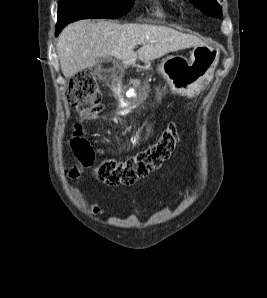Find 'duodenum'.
<instances>
[{"mask_svg":"<svg viewBox=\"0 0 267 298\" xmlns=\"http://www.w3.org/2000/svg\"><path fill=\"white\" fill-rule=\"evenodd\" d=\"M124 64H125L126 67H134V66H136V63L133 60H126Z\"/></svg>","mask_w":267,"mask_h":298,"instance_id":"duodenum-1","label":"duodenum"}]
</instances>
